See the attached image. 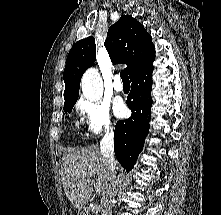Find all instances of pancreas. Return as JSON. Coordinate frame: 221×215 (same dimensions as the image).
Wrapping results in <instances>:
<instances>
[{"label": "pancreas", "mask_w": 221, "mask_h": 215, "mask_svg": "<svg viewBox=\"0 0 221 215\" xmlns=\"http://www.w3.org/2000/svg\"><path fill=\"white\" fill-rule=\"evenodd\" d=\"M90 212L92 215H98V213L100 212V209L97 211H92L91 207H88L86 211V215H90Z\"/></svg>", "instance_id": "1"}]
</instances>
